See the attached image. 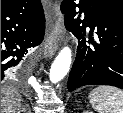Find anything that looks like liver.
I'll return each mask as SVG.
<instances>
[{"label": "liver", "mask_w": 123, "mask_h": 113, "mask_svg": "<svg viewBox=\"0 0 123 113\" xmlns=\"http://www.w3.org/2000/svg\"><path fill=\"white\" fill-rule=\"evenodd\" d=\"M22 97L18 91L11 88L1 89V113H21L25 111Z\"/></svg>", "instance_id": "6515ba94"}]
</instances>
